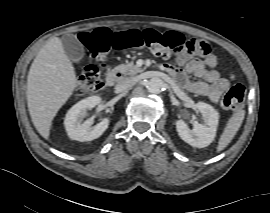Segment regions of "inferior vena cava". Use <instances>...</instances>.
I'll list each match as a JSON object with an SVG mask.
<instances>
[{
    "instance_id": "1",
    "label": "inferior vena cava",
    "mask_w": 270,
    "mask_h": 213,
    "mask_svg": "<svg viewBox=\"0 0 270 213\" xmlns=\"http://www.w3.org/2000/svg\"><path fill=\"white\" fill-rule=\"evenodd\" d=\"M134 83H135V81L132 78H122L116 84L115 90L117 92H123L126 89L132 87L134 85Z\"/></svg>"
}]
</instances>
